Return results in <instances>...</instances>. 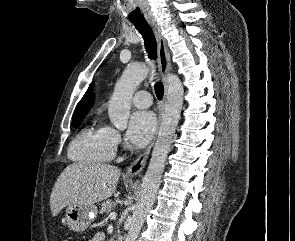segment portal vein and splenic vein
I'll return each mask as SVG.
<instances>
[{
	"label": "portal vein and splenic vein",
	"mask_w": 295,
	"mask_h": 241,
	"mask_svg": "<svg viewBox=\"0 0 295 241\" xmlns=\"http://www.w3.org/2000/svg\"><path fill=\"white\" fill-rule=\"evenodd\" d=\"M116 216H117V214H116L115 212H111V213L109 214V217H110L111 219H115Z\"/></svg>",
	"instance_id": "18ae733b"
}]
</instances>
